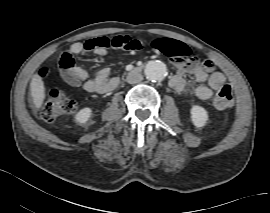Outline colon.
Masks as SVG:
<instances>
[{"instance_id": "1", "label": "colon", "mask_w": 270, "mask_h": 213, "mask_svg": "<svg viewBox=\"0 0 270 213\" xmlns=\"http://www.w3.org/2000/svg\"><path fill=\"white\" fill-rule=\"evenodd\" d=\"M139 44H146L147 40H137ZM153 47H160L166 56H173L179 53L181 45L174 41L154 40L149 42ZM206 68H209V61L203 62ZM59 65L61 68L69 70L73 67L72 59L68 57H60ZM39 77L42 80H46L48 76L47 68H43L39 71ZM234 92L230 85L226 84L222 86L214 97V106L218 109L229 108L233 103ZM76 109V102L61 88H51L48 92L47 99L42 103L40 107V117L45 122H52L57 117L71 114Z\"/></svg>"}]
</instances>
